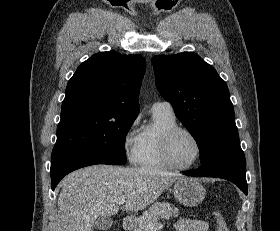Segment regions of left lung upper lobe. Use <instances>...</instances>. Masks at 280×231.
Returning a JSON list of instances; mask_svg holds the SVG:
<instances>
[{
	"instance_id": "5c2ea615",
	"label": "left lung upper lobe",
	"mask_w": 280,
	"mask_h": 231,
	"mask_svg": "<svg viewBox=\"0 0 280 231\" xmlns=\"http://www.w3.org/2000/svg\"><path fill=\"white\" fill-rule=\"evenodd\" d=\"M151 61L157 89L197 142L201 165L240 146L227 84L213 66L193 52Z\"/></svg>"
}]
</instances>
